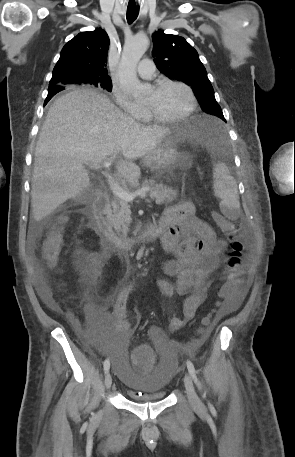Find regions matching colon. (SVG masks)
Listing matches in <instances>:
<instances>
[{
	"mask_svg": "<svg viewBox=\"0 0 295 457\" xmlns=\"http://www.w3.org/2000/svg\"><path fill=\"white\" fill-rule=\"evenodd\" d=\"M213 218L230 244V252L226 257V266L223 272L226 283L221 288L220 295L226 302L231 303L237 298L241 286L244 273V254L248 247V241L244 236V227L240 222L230 221L219 213H215ZM61 243L60 230L53 231L46 238L43 244V255L50 265H55L57 262ZM210 321L209 317L204 320L206 328L210 325ZM153 354V346H133L131 352V359L134 360L131 366L132 372H154Z\"/></svg>",
	"mask_w": 295,
	"mask_h": 457,
	"instance_id": "colon-1",
	"label": "colon"
}]
</instances>
